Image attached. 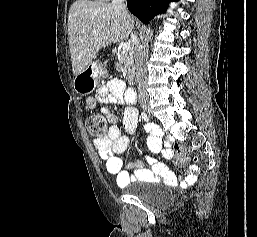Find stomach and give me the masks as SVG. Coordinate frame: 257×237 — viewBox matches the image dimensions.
<instances>
[{
	"label": "stomach",
	"mask_w": 257,
	"mask_h": 237,
	"mask_svg": "<svg viewBox=\"0 0 257 237\" xmlns=\"http://www.w3.org/2000/svg\"><path fill=\"white\" fill-rule=\"evenodd\" d=\"M104 74V68L99 62H91L81 73L75 76L73 80L74 90L81 95L90 94L96 89L99 79Z\"/></svg>",
	"instance_id": "0dacf381"
}]
</instances>
